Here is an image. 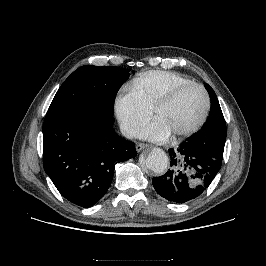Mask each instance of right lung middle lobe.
Instances as JSON below:
<instances>
[{
    "label": "right lung middle lobe",
    "mask_w": 266,
    "mask_h": 266,
    "mask_svg": "<svg viewBox=\"0 0 266 266\" xmlns=\"http://www.w3.org/2000/svg\"><path fill=\"white\" fill-rule=\"evenodd\" d=\"M129 72L118 67L82 66L57 91L53 103L94 107L114 114V100Z\"/></svg>",
    "instance_id": "dd1d6c3e"
}]
</instances>
